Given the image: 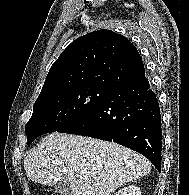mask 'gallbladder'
I'll use <instances>...</instances> for the list:
<instances>
[{
	"mask_svg": "<svg viewBox=\"0 0 189 195\" xmlns=\"http://www.w3.org/2000/svg\"><path fill=\"white\" fill-rule=\"evenodd\" d=\"M55 190L60 195H72L70 185L69 183H66V182L57 183L55 186Z\"/></svg>",
	"mask_w": 189,
	"mask_h": 195,
	"instance_id": "gallbladder-1",
	"label": "gallbladder"
}]
</instances>
